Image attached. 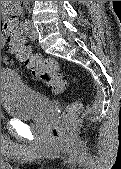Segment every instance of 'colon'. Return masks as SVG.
I'll return each instance as SVG.
<instances>
[{
	"mask_svg": "<svg viewBox=\"0 0 121 169\" xmlns=\"http://www.w3.org/2000/svg\"><path fill=\"white\" fill-rule=\"evenodd\" d=\"M4 38L8 49L32 71L35 79L45 83L56 94L66 92L67 82L54 59L42 58L38 54H33L17 30L6 31ZM80 109L81 104L78 102L67 107L64 114L53 125L52 138L54 141L65 143L69 140L72 135L74 120Z\"/></svg>",
	"mask_w": 121,
	"mask_h": 169,
	"instance_id": "obj_1",
	"label": "colon"
}]
</instances>
